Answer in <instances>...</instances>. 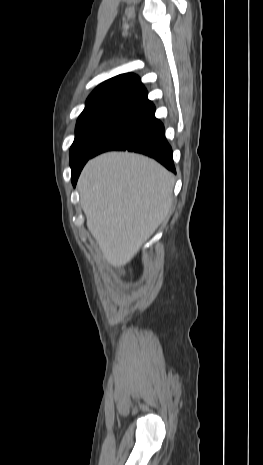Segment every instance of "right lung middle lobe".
Wrapping results in <instances>:
<instances>
[{
    "label": "right lung middle lobe",
    "mask_w": 263,
    "mask_h": 465,
    "mask_svg": "<svg viewBox=\"0 0 263 465\" xmlns=\"http://www.w3.org/2000/svg\"><path fill=\"white\" fill-rule=\"evenodd\" d=\"M137 103L135 100H106L86 105L78 118L70 149L72 170L92 157L101 140Z\"/></svg>",
    "instance_id": "right-lung-middle-lobe-1"
}]
</instances>
